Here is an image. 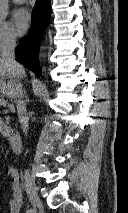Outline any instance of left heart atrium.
<instances>
[{
    "instance_id": "obj_1",
    "label": "left heart atrium",
    "mask_w": 128,
    "mask_h": 213,
    "mask_svg": "<svg viewBox=\"0 0 128 213\" xmlns=\"http://www.w3.org/2000/svg\"><path fill=\"white\" fill-rule=\"evenodd\" d=\"M31 25V15L25 8H18L12 15V26L18 35H23L27 32Z\"/></svg>"
}]
</instances>
